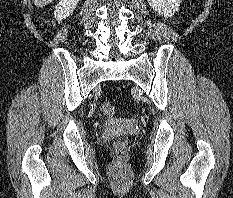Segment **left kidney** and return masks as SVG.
I'll return each mask as SVG.
<instances>
[{"label": "left kidney", "instance_id": "left-kidney-1", "mask_svg": "<svg viewBox=\"0 0 233 198\" xmlns=\"http://www.w3.org/2000/svg\"><path fill=\"white\" fill-rule=\"evenodd\" d=\"M149 5L165 18H171L178 11L182 0H147Z\"/></svg>", "mask_w": 233, "mask_h": 198}]
</instances>
